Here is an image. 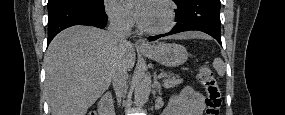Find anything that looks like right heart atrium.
I'll use <instances>...</instances> for the list:
<instances>
[{"label":"right heart atrium","instance_id":"1","mask_svg":"<svg viewBox=\"0 0 285 115\" xmlns=\"http://www.w3.org/2000/svg\"><path fill=\"white\" fill-rule=\"evenodd\" d=\"M105 9L110 20L122 27H131L134 24L131 12L118 1L108 0L105 2Z\"/></svg>","mask_w":285,"mask_h":115}]
</instances>
